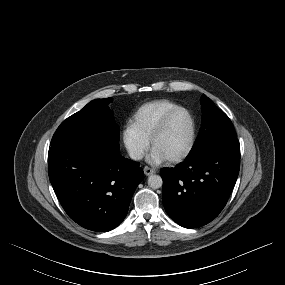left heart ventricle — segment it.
I'll return each instance as SVG.
<instances>
[{"label":"left heart ventricle","instance_id":"left-heart-ventricle-1","mask_svg":"<svg viewBox=\"0 0 285 285\" xmlns=\"http://www.w3.org/2000/svg\"><path fill=\"white\" fill-rule=\"evenodd\" d=\"M191 132V122L185 112L176 113L163 134L156 140L154 150L165 159L180 155L187 147Z\"/></svg>","mask_w":285,"mask_h":285}]
</instances>
